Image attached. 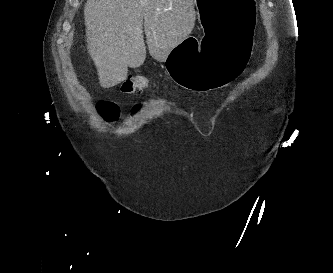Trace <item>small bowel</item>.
<instances>
[{"label": "small bowel", "mask_w": 333, "mask_h": 273, "mask_svg": "<svg viewBox=\"0 0 333 273\" xmlns=\"http://www.w3.org/2000/svg\"><path fill=\"white\" fill-rule=\"evenodd\" d=\"M139 109H140V105L135 106L133 109V114L137 113L139 111Z\"/></svg>", "instance_id": "c3829d8e"}]
</instances>
